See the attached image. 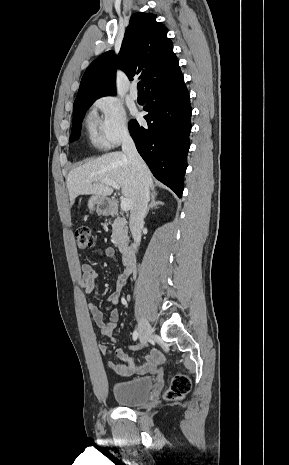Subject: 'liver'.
Returning <instances> with one entry per match:
<instances>
[{"instance_id": "obj_1", "label": "liver", "mask_w": 289, "mask_h": 465, "mask_svg": "<svg viewBox=\"0 0 289 465\" xmlns=\"http://www.w3.org/2000/svg\"><path fill=\"white\" fill-rule=\"evenodd\" d=\"M148 187L156 194L150 170L144 169ZM109 179L122 189L125 198L131 201V211L137 201V176L132 172L127 156L123 152H111L72 169L67 178L70 201L79 195L110 196L113 187L102 183Z\"/></svg>"}]
</instances>
